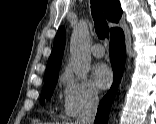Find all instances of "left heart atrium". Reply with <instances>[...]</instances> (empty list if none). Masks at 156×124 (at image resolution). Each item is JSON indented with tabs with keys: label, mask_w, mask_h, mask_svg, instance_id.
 Segmentation results:
<instances>
[{
	"label": "left heart atrium",
	"mask_w": 156,
	"mask_h": 124,
	"mask_svg": "<svg viewBox=\"0 0 156 124\" xmlns=\"http://www.w3.org/2000/svg\"><path fill=\"white\" fill-rule=\"evenodd\" d=\"M93 78L99 88L106 89L112 83L113 74L106 64L100 63L93 70Z\"/></svg>",
	"instance_id": "left-heart-atrium-1"
}]
</instances>
